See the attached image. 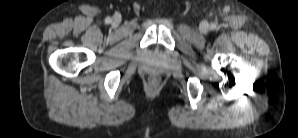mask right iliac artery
Masks as SVG:
<instances>
[{
  "mask_svg": "<svg viewBox=\"0 0 298 138\" xmlns=\"http://www.w3.org/2000/svg\"><path fill=\"white\" fill-rule=\"evenodd\" d=\"M105 22H106L107 24L111 23V18H110V17H107V18L105 19Z\"/></svg>",
  "mask_w": 298,
  "mask_h": 138,
  "instance_id": "obj_1",
  "label": "right iliac artery"
}]
</instances>
